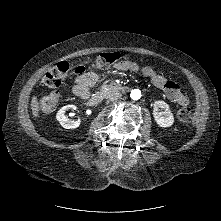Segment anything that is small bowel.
<instances>
[{"mask_svg":"<svg viewBox=\"0 0 221 221\" xmlns=\"http://www.w3.org/2000/svg\"><path fill=\"white\" fill-rule=\"evenodd\" d=\"M116 69L138 71L139 67L137 64L130 62L129 64L119 63ZM140 71L155 87L163 91L172 102L182 106L189 104L188 98L175 82L166 79L149 66L142 67ZM97 81L98 75L93 72L80 76L74 85V93L81 98L90 95V88L94 86Z\"/></svg>","mask_w":221,"mask_h":221,"instance_id":"obj_1","label":"small bowel"}]
</instances>
